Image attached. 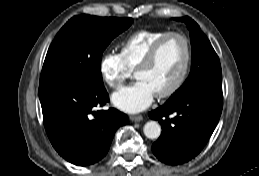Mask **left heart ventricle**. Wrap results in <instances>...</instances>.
<instances>
[{
	"label": "left heart ventricle",
	"instance_id": "1",
	"mask_svg": "<svg viewBox=\"0 0 259 176\" xmlns=\"http://www.w3.org/2000/svg\"><path fill=\"white\" fill-rule=\"evenodd\" d=\"M185 61V45L178 37L168 38L155 61L135 74L137 80L148 83L156 94L169 88L178 77Z\"/></svg>",
	"mask_w": 259,
	"mask_h": 176
}]
</instances>
